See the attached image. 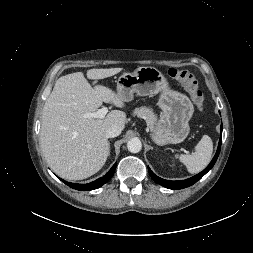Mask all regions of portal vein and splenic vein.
I'll return each mask as SVG.
<instances>
[{"label":"portal vein and splenic vein","mask_w":253,"mask_h":253,"mask_svg":"<svg viewBox=\"0 0 253 253\" xmlns=\"http://www.w3.org/2000/svg\"><path fill=\"white\" fill-rule=\"evenodd\" d=\"M108 112L107 107H102L101 109H98L96 112L93 113H86L83 115V118H100L103 119Z\"/></svg>","instance_id":"portal-vein-and-splenic-vein-1"}]
</instances>
